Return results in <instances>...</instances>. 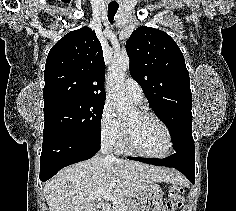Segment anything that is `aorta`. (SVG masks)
<instances>
[{
  "instance_id": "obj_1",
  "label": "aorta",
  "mask_w": 236,
  "mask_h": 211,
  "mask_svg": "<svg viewBox=\"0 0 236 211\" xmlns=\"http://www.w3.org/2000/svg\"><path fill=\"white\" fill-rule=\"evenodd\" d=\"M130 60L127 55L113 59L108 74V93L119 114H125L132 108L124 90V77L129 68Z\"/></svg>"
}]
</instances>
